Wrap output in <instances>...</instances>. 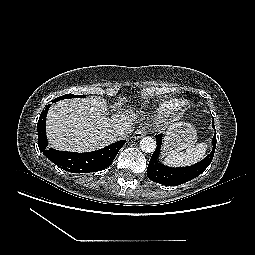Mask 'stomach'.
<instances>
[{
    "label": "stomach",
    "instance_id": "obj_1",
    "mask_svg": "<svg viewBox=\"0 0 255 255\" xmlns=\"http://www.w3.org/2000/svg\"><path fill=\"white\" fill-rule=\"evenodd\" d=\"M196 141L197 133L192 124L185 121L174 122L165 133L164 154H174L193 147Z\"/></svg>",
    "mask_w": 255,
    "mask_h": 255
}]
</instances>
